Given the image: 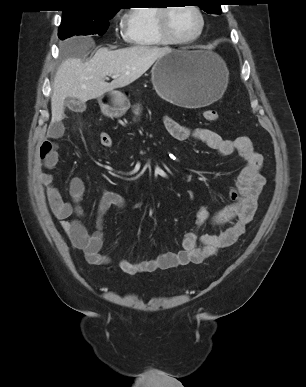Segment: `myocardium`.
<instances>
[{"label":"myocardium","instance_id":"1","mask_svg":"<svg viewBox=\"0 0 306 387\" xmlns=\"http://www.w3.org/2000/svg\"><path fill=\"white\" fill-rule=\"evenodd\" d=\"M190 7L195 13L197 14L200 25L197 33L187 39H180L177 38L173 35L170 29V24H169V17L172 9L174 8L173 6H164L162 8H159L158 13H157V29L159 32L160 37L163 39L164 42L167 44H173V45H188L196 42L203 34L204 29H205V16L200 9L199 6L190 4L187 5Z\"/></svg>","mask_w":306,"mask_h":387}]
</instances>
